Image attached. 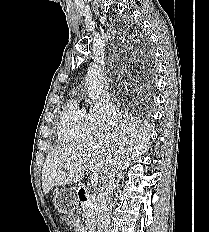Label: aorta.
Here are the masks:
<instances>
[{
	"mask_svg": "<svg viewBox=\"0 0 209 232\" xmlns=\"http://www.w3.org/2000/svg\"><path fill=\"white\" fill-rule=\"evenodd\" d=\"M86 83L90 99L93 101L97 100L104 86V77L99 64H90L87 69Z\"/></svg>",
	"mask_w": 209,
	"mask_h": 232,
	"instance_id": "aorta-1",
	"label": "aorta"
}]
</instances>
